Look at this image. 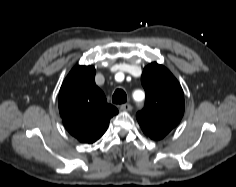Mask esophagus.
I'll return each instance as SVG.
<instances>
[{
    "mask_svg": "<svg viewBox=\"0 0 236 187\" xmlns=\"http://www.w3.org/2000/svg\"><path fill=\"white\" fill-rule=\"evenodd\" d=\"M120 110L122 111H131L132 110V106L128 103L122 104L120 106Z\"/></svg>",
    "mask_w": 236,
    "mask_h": 187,
    "instance_id": "34e87169",
    "label": "esophagus"
}]
</instances>
